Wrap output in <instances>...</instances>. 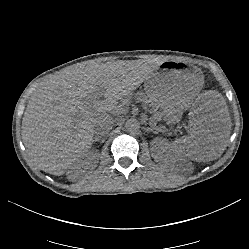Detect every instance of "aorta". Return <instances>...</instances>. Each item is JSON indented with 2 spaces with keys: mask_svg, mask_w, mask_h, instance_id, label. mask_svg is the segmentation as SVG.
Listing matches in <instances>:
<instances>
[{
  "mask_svg": "<svg viewBox=\"0 0 249 249\" xmlns=\"http://www.w3.org/2000/svg\"><path fill=\"white\" fill-rule=\"evenodd\" d=\"M125 128L129 132H135L140 128V123L135 118H129L125 122Z\"/></svg>",
  "mask_w": 249,
  "mask_h": 249,
  "instance_id": "aorta-1",
  "label": "aorta"
}]
</instances>
